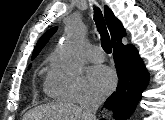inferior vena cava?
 I'll return each instance as SVG.
<instances>
[{"label": "inferior vena cava", "mask_w": 165, "mask_h": 120, "mask_svg": "<svg viewBox=\"0 0 165 120\" xmlns=\"http://www.w3.org/2000/svg\"><path fill=\"white\" fill-rule=\"evenodd\" d=\"M103 101L104 98L101 95L89 93L85 100L81 103V120H96V111Z\"/></svg>", "instance_id": "1"}]
</instances>
